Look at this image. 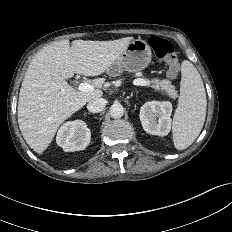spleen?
Segmentation results:
<instances>
[{"label": "spleen", "mask_w": 232, "mask_h": 232, "mask_svg": "<svg viewBox=\"0 0 232 232\" xmlns=\"http://www.w3.org/2000/svg\"><path fill=\"white\" fill-rule=\"evenodd\" d=\"M206 93L200 74L194 65L181 64L178 107L172 123L173 142L177 150L188 148L200 134L206 118Z\"/></svg>", "instance_id": "obj_1"}]
</instances>
